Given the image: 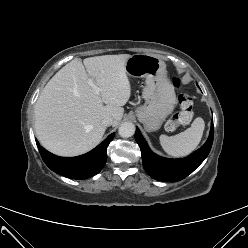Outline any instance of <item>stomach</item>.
Returning <instances> with one entry per match:
<instances>
[{
	"label": "stomach",
	"mask_w": 248,
	"mask_h": 248,
	"mask_svg": "<svg viewBox=\"0 0 248 248\" xmlns=\"http://www.w3.org/2000/svg\"><path fill=\"white\" fill-rule=\"evenodd\" d=\"M125 70L131 77L145 78V104L138 107L135 114L146 131L158 130L176 104V94L167 78L166 64L156 55L135 54L127 60Z\"/></svg>",
	"instance_id": "obj_1"
}]
</instances>
